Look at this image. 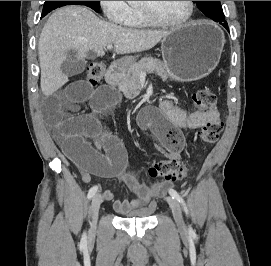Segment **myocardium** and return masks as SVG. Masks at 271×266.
Here are the masks:
<instances>
[{
    "instance_id": "1",
    "label": "myocardium",
    "mask_w": 271,
    "mask_h": 266,
    "mask_svg": "<svg viewBox=\"0 0 271 266\" xmlns=\"http://www.w3.org/2000/svg\"><path fill=\"white\" fill-rule=\"evenodd\" d=\"M188 4V13L187 15L180 21H166L158 17L151 9L140 6L139 9L143 16L147 19V21L153 25L163 26V27H170V28H178L188 24L194 15V2L187 1Z\"/></svg>"
}]
</instances>
